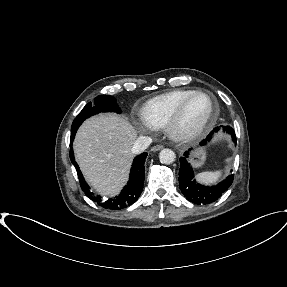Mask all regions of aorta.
Listing matches in <instances>:
<instances>
[{"label":"aorta","instance_id":"obj_1","mask_svg":"<svg viewBox=\"0 0 287 287\" xmlns=\"http://www.w3.org/2000/svg\"><path fill=\"white\" fill-rule=\"evenodd\" d=\"M176 155L173 150L165 148L159 153L160 162L163 164H171L175 161Z\"/></svg>","mask_w":287,"mask_h":287}]
</instances>
